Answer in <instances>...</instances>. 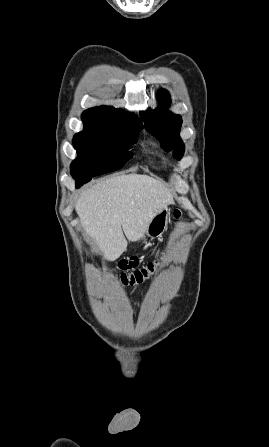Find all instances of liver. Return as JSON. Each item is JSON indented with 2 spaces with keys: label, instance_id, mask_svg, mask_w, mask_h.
I'll use <instances>...</instances> for the list:
<instances>
[{
  "label": "liver",
  "instance_id": "obj_1",
  "mask_svg": "<svg viewBox=\"0 0 269 447\" xmlns=\"http://www.w3.org/2000/svg\"><path fill=\"white\" fill-rule=\"evenodd\" d=\"M169 204H174L173 196L159 180L123 174L85 190L75 210L105 259L113 261L125 251L127 239H140L152 218Z\"/></svg>",
  "mask_w": 269,
  "mask_h": 447
}]
</instances>
